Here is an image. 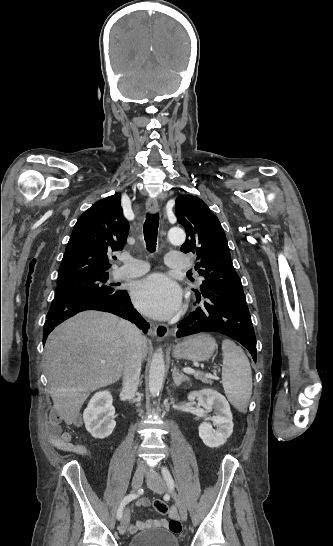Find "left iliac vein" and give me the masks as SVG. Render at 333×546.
Returning <instances> with one entry per match:
<instances>
[{
	"instance_id": "obj_1",
	"label": "left iliac vein",
	"mask_w": 333,
	"mask_h": 546,
	"mask_svg": "<svg viewBox=\"0 0 333 546\" xmlns=\"http://www.w3.org/2000/svg\"><path fill=\"white\" fill-rule=\"evenodd\" d=\"M147 485L150 489H152L153 491L157 492V493H164L167 491V484L165 482V480L159 476L158 474H156L155 476L153 477H150L147 479ZM173 499L175 500L176 502V505H177V508L179 510V514H180V517L183 521H186L187 519V516H188V513H187V508H186V505L185 503L183 502V500L180 498V496L174 492V491H170Z\"/></svg>"
}]
</instances>
